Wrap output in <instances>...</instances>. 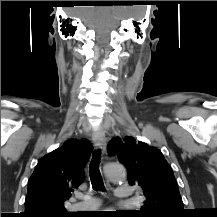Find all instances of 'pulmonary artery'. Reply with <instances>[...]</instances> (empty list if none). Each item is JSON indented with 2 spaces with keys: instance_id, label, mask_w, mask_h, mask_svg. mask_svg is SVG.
<instances>
[{
  "instance_id": "e3ab8cb5",
  "label": "pulmonary artery",
  "mask_w": 217,
  "mask_h": 217,
  "mask_svg": "<svg viewBox=\"0 0 217 217\" xmlns=\"http://www.w3.org/2000/svg\"><path fill=\"white\" fill-rule=\"evenodd\" d=\"M132 194V190L128 186H120L115 190V197L118 199H129ZM85 201L78 203L74 206L75 209H95L99 206V202L92 197H84Z\"/></svg>"
}]
</instances>
